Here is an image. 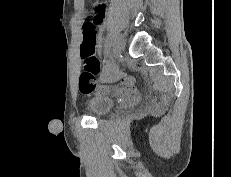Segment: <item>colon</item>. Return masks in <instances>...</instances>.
Returning <instances> with one entry per match:
<instances>
[{"label":"colon","mask_w":231,"mask_h":177,"mask_svg":"<svg viewBox=\"0 0 231 177\" xmlns=\"http://www.w3.org/2000/svg\"><path fill=\"white\" fill-rule=\"evenodd\" d=\"M97 29L91 22L83 25V43L80 55L83 61V71L79 77V89L82 93L88 94L95 90L106 92L110 89L106 85H97L96 75L100 70V64L95 56Z\"/></svg>","instance_id":"5ec220e1"}]
</instances>
